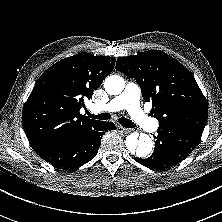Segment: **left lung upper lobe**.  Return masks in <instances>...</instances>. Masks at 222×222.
Here are the masks:
<instances>
[{"mask_svg": "<svg viewBox=\"0 0 222 222\" xmlns=\"http://www.w3.org/2000/svg\"><path fill=\"white\" fill-rule=\"evenodd\" d=\"M116 69L134 78L159 124L204 130L208 107L193 75L176 59L159 50L118 58Z\"/></svg>", "mask_w": 222, "mask_h": 222, "instance_id": "1", "label": "left lung upper lobe"}]
</instances>
